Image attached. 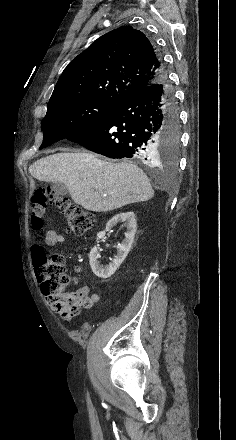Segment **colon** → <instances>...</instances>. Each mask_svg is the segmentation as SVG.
<instances>
[{
  "label": "colon",
  "instance_id": "obj_1",
  "mask_svg": "<svg viewBox=\"0 0 236 440\" xmlns=\"http://www.w3.org/2000/svg\"><path fill=\"white\" fill-rule=\"evenodd\" d=\"M56 204L67 221L68 231L84 234L95 225V215L60 197L51 190H36L31 198V225L38 233L44 227V215L50 204ZM37 274L42 280V291L57 307L63 318L71 319L80 306V302L66 292L71 282L67 274L65 259L62 254L54 253L46 258L42 255L37 264Z\"/></svg>",
  "mask_w": 236,
  "mask_h": 440
}]
</instances>
